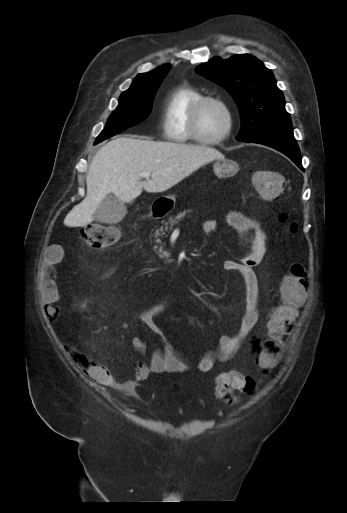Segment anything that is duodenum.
<instances>
[{
    "mask_svg": "<svg viewBox=\"0 0 347 513\" xmlns=\"http://www.w3.org/2000/svg\"><path fill=\"white\" fill-rule=\"evenodd\" d=\"M165 209H166L165 205L162 202L157 200L152 204V208H151L150 212L148 213L147 217L148 218L160 217L165 212Z\"/></svg>",
    "mask_w": 347,
    "mask_h": 513,
    "instance_id": "1",
    "label": "duodenum"
}]
</instances>
